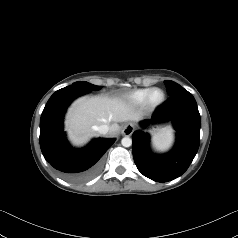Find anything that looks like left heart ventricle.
<instances>
[{"instance_id":"1","label":"left heart ventricle","mask_w":238,"mask_h":238,"mask_svg":"<svg viewBox=\"0 0 238 238\" xmlns=\"http://www.w3.org/2000/svg\"><path fill=\"white\" fill-rule=\"evenodd\" d=\"M161 97H162L161 93L160 92H156L153 95V101L157 102V101H159L161 99Z\"/></svg>"}]
</instances>
